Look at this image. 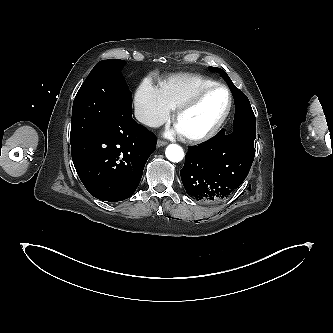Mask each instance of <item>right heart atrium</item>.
<instances>
[{
	"label": "right heart atrium",
	"instance_id": "obj_1",
	"mask_svg": "<svg viewBox=\"0 0 333 333\" xmlns=\"http://www.w3.org/2000/svg\"><path fill=\"white\" fill-rule=\"evenodd\" d=\"M135 112L138 120L148 127L163 124L171 114L160 90L150 81H144L135 94Z\"/></svg>",
	"mask_w": 333,
	"mask_h": 333
}]
</instances>
